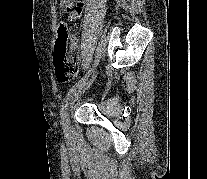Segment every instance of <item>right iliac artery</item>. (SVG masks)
Listing matches in <instances>:
<instances>
[{
    "label": "right iliac artery",
    "mask_w": 207,
    "mask_h": 179,
    "mask_svg": "<svg viewBox=\"0 0 207 179\" xmlns=\"http://www.w3.org/2000/svg\"><path fill=\"white\" fill-rule=\"evenodd\" d=\"M85 79L80 80L78 83H76L74 86H72V88L69 90L66 98L64 99L62 105H61V109H60V116L61 119L63 121V125H64V119H65V115H66V109L69 103V100L71 99V97L73 96V94L76 92L77 88H79L82 84V82H84Z\"/></svg>",
    "instance_id": "obj_1"
}]
</instances>
